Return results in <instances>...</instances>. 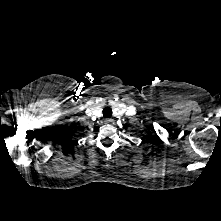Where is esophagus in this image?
<instances>
[{"mask_svg":"<svg viewBox=\"0 0 221 221\" xmlns=\"http://www.w3.org/2000/svg\"><path fill=\"white\" fill-rule=\"evenodd\" d=\"M112 119H109V118H106L105 120H104V122H105V124H110V123H112Z\"/></svg>","mask_w":221,"mask_h":221,"instance_id":"esophagus-1","label":"esophagus"}]
</instances>
